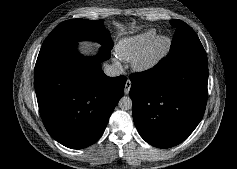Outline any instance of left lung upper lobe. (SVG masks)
<instances>
[{"instance_id": "obj_1", "label": "left lung upper lobe", "mask_w": 237, "mask_h": 169, "mask_svg": "<svg viewBox=\"0 0 237 169\" xmlns=\"http://www.w3.org/2000/svg\"><path fill=\"white\" fill-rule=\"evenodd\" d=\"M170 24L176 27L170 53L163 58L165 64L189 56H206V52L194 30L181 20H171Z\"/></svg>"}]
</instances>
